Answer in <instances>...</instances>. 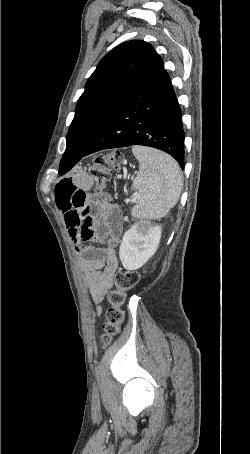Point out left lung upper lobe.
I'll return each instance as SVG.
<instances>
[{
	"label": "left lung upper lobe",
	"mask_w": 250,
	"mask_h": 454,
	"mask_svg": "<svg viewBox=\"0 0 250 454\" xmlns=\"http://www.w3.org/2000/svg\"><path fill=\"white\" fill-rule=\"evenodd\" d=\"M162 69L161 57L142 40L124 42L107 53L78 100L65 153L84 154L108 119Z\"/></svg>",
	"instance_id": "left-lung-upper-lobe-1"
}]
</instances>
